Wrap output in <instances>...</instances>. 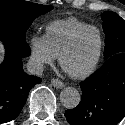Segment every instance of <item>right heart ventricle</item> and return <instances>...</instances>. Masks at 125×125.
<instances>
[{
  "instance_id": "obj_1",
  "label": "right heart ventricle",
  "mask_w": 125,
  "mask_h": 125,
  "mask_svg": "<svg viewBox=\"0 0 125 125\" xmlns=\"http://www.w3.org/2000/svg\"><path fill=\"white\" fill-rule=\"evenodd\" d=\"M89 24L75 18L68 17L57 19L47 24L45 28L44 38L55 56H58L60 50L69 40V38L79 29Z\"/></svg>"
}]
</instances>
